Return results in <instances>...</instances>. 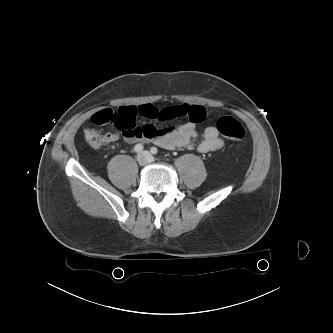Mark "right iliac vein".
I'll use <instances>...</instances> for the list:
<instances>
[{
  "label": "right iliac vein",
  "instance_id": "1",
  "mask_svg": "<svg viewBox=\"0 0 333 333\" xmlns=\"http://www.w3.org/2000/svg\"><path fill=\"white\" fill-rule=\"evenodd\" d=\"M136 159H137V162L139 163V165H141V166H144L147 164V162H149L148 157L145 153L138 154Z\"/></svg>",
  "mask_w": 333,
  "mask_h": 333
}]
</instances>
